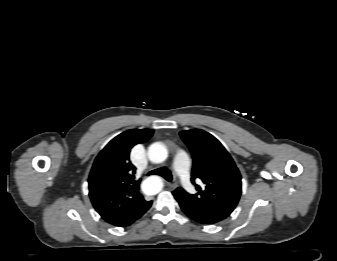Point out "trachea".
Segmentation results:
<instances>
[{
  "label": "trachea",
  "mask_w": 337,
  "mask_h": 261,
  "mask_svg": "<svg viewBox=\"0 0 337 261\" xmlns=\"http://www.w3.org/2000/svg\"><path fill=\"white\" fill-rule=\"evenodd\" d=\"M151 174L163 176L168 181L172 180V175H171L170 171H168L165 168L156 169V170H153V171L148 173V175H151Z\"/></svg>",
  "instance_id": "1"
}]
</instances>
